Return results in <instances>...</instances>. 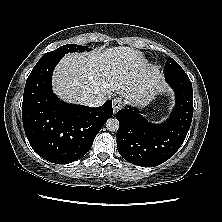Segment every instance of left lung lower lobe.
Returning a JSON list of instances; mask_svg holds the SVG:
<instances>
[{
  "label": "left lung lower lobe",
  "instance_id": "obj_1",
  "mask_svg": "<svg viewBox=\"0 0 222 222\" xmlns=\"http://www.w3.org/2000/svg\"><path fill=\"white\" fill-rule=\"evenodd\" d=\"M165 79L175 91L176 105L164 123L148 122L131 106L116 113L118 151L138 166L154 167L167 161L180 148L191 125L193 90L188 75L165 73Z\"/></svg>",
  "mask_w": 222,
  "mask_h": 222
}]
</instances>
